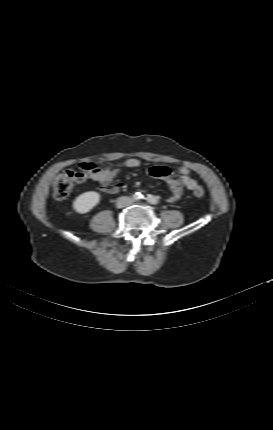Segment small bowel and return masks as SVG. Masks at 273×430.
Wrapping results in <instances>:
<instances>
[{"label": "small bowel", "instance_id": "c3829d8e", "mask_svg": "<svg viewBox=\"0 0 273 430\" xmlns=\"http://www.w3.org/2000/svg\"><path fill=\"white\" fill-rule=\"evenodd\" d=\"M141 166V161L137 158L126 159L122 163L124 168H138ZM119 167L104 168L101 162H82L80 171L85 173V177L99 184V190L105 194H116L125 188L123 183H117L111 186L112 180L119 173ZM181 174V179L172 178V171L166 166H157L150 169L151 176L164 179L171 189V195L168 197V202L174 203L178 201L183 194L184 189L194 190L198 183L189 175V169L186 166H181L178 169Z\"/></svg>", "mask_w": 273, "mask_h": 430}]
</instances>
